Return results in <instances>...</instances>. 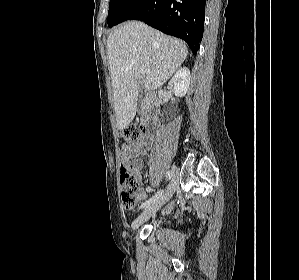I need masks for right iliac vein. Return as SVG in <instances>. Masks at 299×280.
<instances>
[{
	"label": "right iliac vein",
	"instance_id": "right-iliac-vein-1",
	"mask_svg": "<svg viewBox=\"0 0 299 280\" xmlns=\"http://www.w3.org/2000/svg\"><path fill=\"white\" fill-rule=\"evenodd\" d=\"M172 179L165 191L155 202L145 208V210L134 220L132 229H137L140 225L146 222L153 216L174 194L178 187V170L172 167Z\"/></svg>",
	"mask_w": 299,
	"mask_h": 280
}]
</instances>
